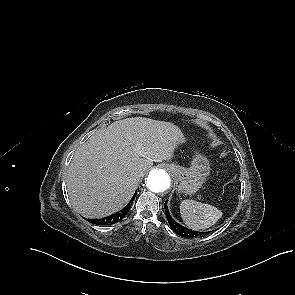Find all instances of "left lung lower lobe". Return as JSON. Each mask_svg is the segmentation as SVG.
Segmentation results:
<instances>
[{"label": "left lung lower lobe", "mask_w": 295, "mask_h": 295, "mask_svg": "<svg viewBox=\"0 0 295 295\" xmlns=\"http://www.w3.org/2000/svg\"><path fill=\"white\" fill-rule=\"evenodd\" d=\"M164 209H165V215L166 218L168 220V223L171 227V229L178 235L182 236V237H186V238H190V237H196L199 236L201 234H203V232H197V231H193L190 229L185 228L184 226L178 224L170 215L169 211H168V207H167V201L164 204ZM209 233V232H207Z\"/></svg>", "instance_id": "left-lung-lower-lobe-1"}]
</instances>
